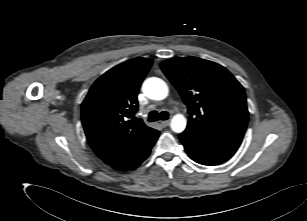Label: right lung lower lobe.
<instances>
[{
    "label": "right lung lower lobe",
    "mask_w": 307,
    "mask_h": 221,
    "mask_svg": "<svg viewBox=\"0 0 307 221\" xmlns=\"http://www.w3.org/2000/svg\"><path fill=\"white\" fill-rule=\"evenodd\" d=\"M159 136V131L154 133L140 147L134 150L130 155L122 161L111 165L116 170L130 171L137 168L150 154L151 148L155 144Z\"/></svg>",
    "instance_id": "98d812e1"
}]
</instances>
